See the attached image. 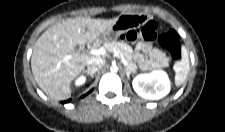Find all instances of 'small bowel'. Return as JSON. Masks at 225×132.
<instances>
[{
	"instance_id": "obj_1",
	"label": "small bowel",
	"mask_w": 225,
	"mask_h": 132,
	"mask_svg": "<svg viewBox=\"0 0 225 132\" xmlns=\"http://www.w3.org/2000/svg\"><path fill=\"white\" fill-rule=\"evenodd\" d=\"M140 17H132L131 21L137 23ZM134 59L142 70L162 68L167 64L166 56L162 51L149 43L140 42L136 45Z\"/></svg>"
}]
</instances>
